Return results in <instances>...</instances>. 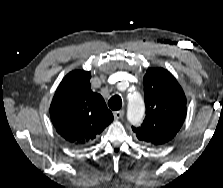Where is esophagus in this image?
<instances>
[{"label": "esophagus", "mask_w": 223, "mask_h": 188, "mask_svg": "<svg viewBox=\"0 0 223 188\" xmlns=\"http://www.w3.org/2000/svg\"><path fill=\"white\" fill-rule=\"evenodd\" d=\"M124 110H119V111H115L113 112L114 118L116 120L121 119L124 116Z\"/></svg>", "instance_id": "34e87169"}]
</instances>
